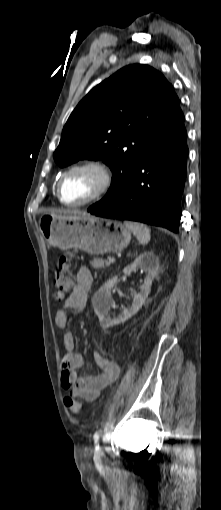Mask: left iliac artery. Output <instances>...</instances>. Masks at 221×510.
<instances>
[{
    "label": "left iliac artery",
    "mask_w": 221,
    "mask_h": 510,
    "mask_svg": "<svg viewBox=\"0 0 221 510\" xmlns=\"http://www.w3.org/2000/svg\"><path fill=\"white\" fill-rule=\"evenodd\" d=\"M99 436H100L99 431H96L94 434V441L96 443V447H95L96 451H98L100 449V447L98 445Z\"/></svg>",
    "instance_id": "1"
}]
</instances>
